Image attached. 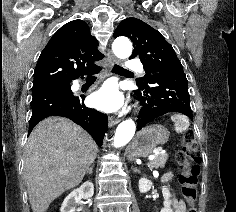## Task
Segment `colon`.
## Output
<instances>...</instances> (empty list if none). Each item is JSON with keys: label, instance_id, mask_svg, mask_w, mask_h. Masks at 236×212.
Listing matches in <instances>:
<instances>
[{"label": "colon", "instance_id": "1", "mask_svg": "<svg viewBox=\"0 0 236 212\" xmlns=\"http://www.w3.org/2000/svg\"><path fill=\"white\" fill-rule=\"evenodd\" d=\"M176 159L180 169L179 185L183 197L189 204L188 212H197L195 201L197 198V182L201 152L199 144L192 132L185 135L182 147L177 152Z\"/></svg>", "mask_w": 236, "mask_h": 212}]
</instances>
